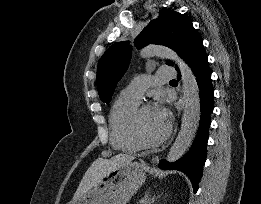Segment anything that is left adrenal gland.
Returning a JSON list of instances; mask_svg holds the SVG:
<instances>
[{
  "instance_id": "left-adrenal-gland-1",
  "label": "left adrenal gland",
  "mask_w": 261,
  "mask_h": 204,
  "mask_svg": "<svg viewBox=\"0 0 261 204\" xmlns=\"http://www.w3.org/2000/svg\"><path fill=\"white\" fill-rule=\"evenodd\" d=\"M159 197V196H158ZM155 197H150L149 193H146L144 198L141 200V204H152Z\"/></svg>"
}]
</instances>
